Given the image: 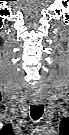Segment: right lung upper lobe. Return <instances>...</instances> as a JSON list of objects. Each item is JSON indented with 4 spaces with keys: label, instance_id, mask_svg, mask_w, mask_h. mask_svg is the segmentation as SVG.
<instances>
[{
    "label": "right lung upper lobe",
    "instance_id": "right-lung-upper-lobe-1",
    "mask_svg": "<svg viewBox=\"0 0 69 135\" xmlns=\"http://www.w3.org/2000/svg\"><path fill=\"white\" fill-rule=\"evenodd\" d=\"M5 129H6V130H11V124L6 125V126H5Z\"/></svg>",
    "mask_w": 69,
    "mask_h": 135
}]
</instances>
